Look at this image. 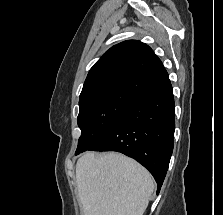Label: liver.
I'll use <instances>...</instances> for the list:
<instances>
[{
	"mask_svg": "<svg viewBox=\"0 0 223 215\" xmlns=\"http://www.w3.org/2000/svg\"><path fill=\"white\" fill-rule=\"evenodd\" d=\"M84 215H143L154 181L151 173L118 151H86L76 163Z\"/></svg>",
	"mask_w": 223,
	"mask_h": 215,
	"instance_id": "obj_1",
	"label": "liver"
}]
</instances>
